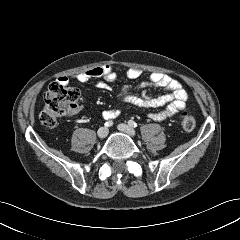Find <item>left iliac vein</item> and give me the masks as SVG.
Returning a JSON list of instances; mask_svg holds the SVG:
<instances>
[{
	"label": "left iliac vein",
	"instance_id": "left-iliac-vein-1",
	"mask_svg": "<svg viewBox=\"0 0 240 240\" xmlns=\"http://www.w3.org/2000/svg\"><path fill=\"white\" fill-rule=\"evenodd\" d=\"M117 127H118L119 131L126 133L131 137L135 136V134H136L135 130L126 124L121 123Z\"/></svg>",
	"mask_w": 240,
	"mask_h": 240
}]
</instances>
